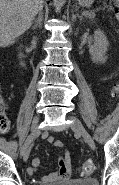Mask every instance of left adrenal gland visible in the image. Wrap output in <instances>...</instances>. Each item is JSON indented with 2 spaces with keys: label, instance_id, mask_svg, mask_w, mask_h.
<instances>
[{
  "label": "left adrenal gland",
  "instance_id": "a2214340",
  "mask_svg": "<svg viewBox=\"0 0 119 185\" xmlns=\"http://www.w3.org/2000/svg\"><path fill=\"white\" fill-rule=\"evenodd\" d=\"M77 17H78L80 20H82L83 15H79V14H72V19H73V21H75V19H76Z\"/></svg>",
  "mask_w": 119,
  "mask_h": 185
}]
</instances>
